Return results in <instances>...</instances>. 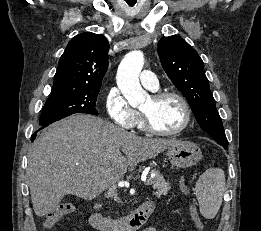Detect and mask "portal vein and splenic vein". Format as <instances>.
<instances>
[{
    "label": "portal vein and splenic vein",
    "mask_w": 261,
    "mask_h": 231,
    "mask_svg": "<svg viewBox=\"0 0 261 231\" xmlns=\"http://www.w3.org/2000/svg\"><path fill=\"white\" fill-rule=\"evenodd\" d=\"M151 184H152L151 179H145L144 180V185L148 186V185H151Z\"/></svg>",
    "instance_id": "1"
}]
</instances>
